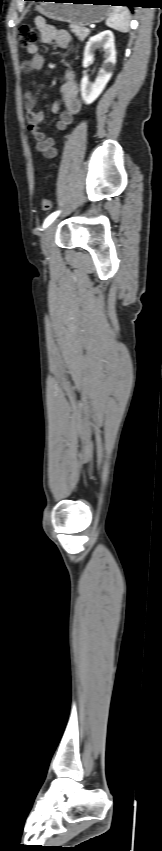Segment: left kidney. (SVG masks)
Segmentation results:
<instances>
[{
	"instance_id": "1",
	"label": "left kidney",
	"mask_w": 162,
	"mask_h": 851,
	"mask_svg": "<svg viewBox=\"0 0 162 851\" xmlns=\"http://www.w3.org/2000/svg\"><path fill=\"white\" fill-rule=\"evenodd\" d=\"M97 48L104 50V61L94 83H91L87 76H84L81 80V96L85 104H91L99 97L112 76L116 64V50L114 35L111 31H103L91 37L86 43L83 58L84 68H87L93 60Z\"/></svg>"
}]
</instances>
